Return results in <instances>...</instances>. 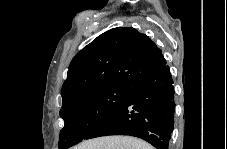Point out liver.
Returning <instances> with one entry per match:
<instances>
[{
	"label": "liver",
	"instance_id": "6515ba94",
	"mask_svg": "<svg viewBox=\"0 0 227 149\" xmlns=\"http://www.w3.org/2000/svg\"><path fill=\"white\" fill-rule=\"evenodd\" d=\"M76 149H152V146L131 136H106L84 141Z\"/></svg>",
	"mask_w": 227,
	"mask_h": 149
}]
</instances>
